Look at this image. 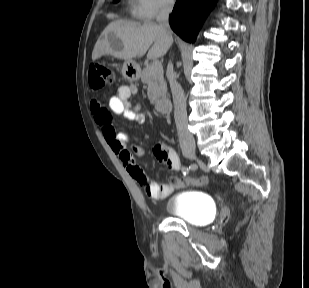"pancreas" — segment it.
I'll return each instance as SVG.
<instances>
[{
    "instance_id": "1",
    "label": "pancreas",
    "mask_w": 309,
    "mask_h": 288,
    "mask_svg": "<svg viewBox=\"0 0 309 288\" xmlns=\"http://www.w3.org/2000/svg\"><path fill=\"white\" fill-rule=\"evenodd\" d=\"M152 64H146L142 71L141 81L148 85V98L152 104L166 96L167 86L163 69H152Z\"/></svg>"
}]
</instances>
